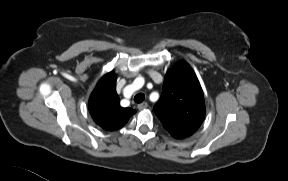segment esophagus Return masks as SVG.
Segmentation results:
<instances>
[{
    "instance_id": "1",
    "label": "esophagus",
    "mask_w": 288,
    "mask_h": 181,
    "mask_svg": "<svg viewBox=\"0 0 288 181\" xmlns=\"http://www.w3.org/2000/svg\"><path fill=\"white\" fill-rule=\"evenodd\" d=\"M137 107L139 110H143V109H146L148 107V104L146 102H143V103L138 104Z\"/></svg>"
}]
</instances>
